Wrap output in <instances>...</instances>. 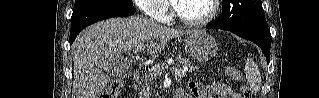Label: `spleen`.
<instances>
[{"instance_id": "1", "label": "spleen", "mask_w": 319, "mask_h": 98, "mask_svg": "<svg viewBox=\"0 0 319 98\" xmlns=\"http://www.w3.org/2000/svg\"><path fill=\"white\" fill-rule=\"evenodd\" d=\"M245 76L250 88L255 92L259 91L262 83L261 74L257 64L251 59L246 61Z\"/></svg>"}]
</instances>
